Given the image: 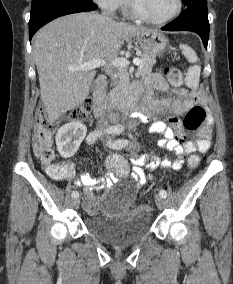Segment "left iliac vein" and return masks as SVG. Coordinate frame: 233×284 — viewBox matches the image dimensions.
<instances>
[{
  "label": "left iliac vein",
  "mask_w": 233,
  "mask_h": 284,
  "mask_svg": "<svg viewBox=\"0 0 233 284\" xmlns=\"http://www.w3.org/2000/svg\"><path fill=\"white\" fill-rule=\"evenodd\" d=\"M155 203H156V206L158 207V209H160V210L165 207V200L160 195L155 196Z\"/></svg>",
  "instance_id": "1"
}]
</instances>
